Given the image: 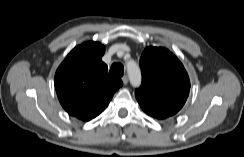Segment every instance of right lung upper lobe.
Returning <instances> with one entry per match:
<instances>
[{
	"mask_svg": "<svg viewBox=\"0 0 244 157\" xmlns=\"http://www.w3.org/2000/svg\"><path fill=\"white\" fill-rule=\"evenodd\" d=\"M104 45L85 42L75 47L56 71L54 83L63 108L83 121L98 116L122 81L108 74L101 58Z\"/></svg>",
	"mask_w": 244,
	"mask_h": 157,
	"instance_id": "1",
	"label": "right lung upper lobe"
}]
</instances>
